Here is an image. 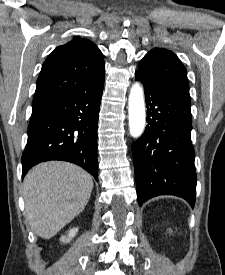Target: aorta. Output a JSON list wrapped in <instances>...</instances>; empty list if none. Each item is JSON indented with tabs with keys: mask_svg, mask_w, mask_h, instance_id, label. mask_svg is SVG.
<instances>
[{
	"mask_svg": "<svg viewBox=\"0 0 225 275\" xmlns=\"http://www.w3.org/2000/svg\"><path fill=\"white\" fill-rule=\"evenodd\" d=\"M128 113L130 135L138 138L144 132L146 123L144 91L138 82L132 85L129 93Z\"/></svg>",
	"mask_w": 225,
	"mask_h": 275,
	"instance_id": "762f6f07",
	"label": "aorta"
}]
</instances>
